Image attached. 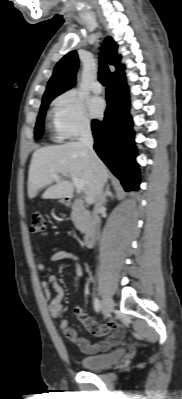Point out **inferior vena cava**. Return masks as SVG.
<instances>
[{
    "label": "inferior vena cava",
    "mask_w": 182,
    "mask_h": 399,
    "mask_svg": "<svg viewBox=\"0 0 182 399\" xmlns=\"http://www.w3.org/2000/svg\"><path fill=\"white\" fill-rule=\"evenodd\" d=\"M79 141L86 148L89 155L93 159L97 160V155L95 154V152L93 150V137H92L91 127H90V122L86 121V122L82 123V125L80 127ZM103 188H104V181H103L101 175L98 174L97 179H96V186H95L96 199H95V206H94V218L98 225L100 224V218L98 216V213L104 204Z\"/></svg>",
    "instance_id": "inferior-vena-cava-1"
}]
</instances>
